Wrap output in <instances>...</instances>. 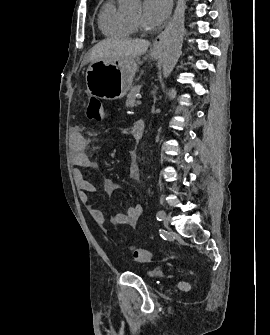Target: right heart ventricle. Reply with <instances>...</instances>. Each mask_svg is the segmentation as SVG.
I'll use <instances>...</instances> for the list:
<instances>
[{"label": "right heart ventricle", "mask_w": 270, "mask_h": 335, "mask_svg": "<svg viewBox=\"0 0 270 335\" xmlns=\"http://www.w3.org/2000/svg\"><path fill=\"white\" fill-rule=\"evenodd\" d=\"M98 24L101 32L109 38H127L134 33L129 20L119 14L116 2L113 0H108L102 5Z\"/></svg>", "instance_id": "obj_1"}]
</instances>
